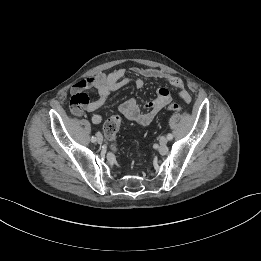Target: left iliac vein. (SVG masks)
<instances>
[{"label":"left iliac vein","instance_id":"left-iliac-vein-1","mask_svg":"<svg viewBox=\"0 0 261 261\" xmlns=\"http://www.w3.org/2000/svg\"><path fill=\"white\" fill-rule=\"evenodd\" d=\"M168 140L165 136L160 137L159 143L161 146H165L167 144Z\"/></svg>","mask_w":261,"mask_h":261}]
</instances>
